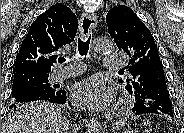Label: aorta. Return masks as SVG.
Masks as SVG:
<instances>
[{"label": "aorta", "instance_id": "aorta-1", "mask_svg": "<svg viewBox=\"0 0 184 133\" xmlns=\"http://www.w3.org/2000/svg\"><path fill=\"white\" fill-rule=\"evenodd\" d=\"M92 47L96 52L109 53L114 49V44L111 40L106 38H95Z\"/></svg>", "mask_w": 184, "mask_h": 133}]
</instances>
